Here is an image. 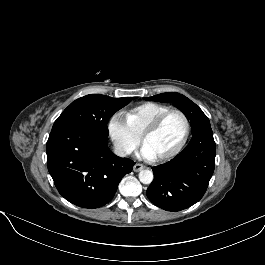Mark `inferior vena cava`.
Masks as SVG:
<instances>
[{
    "mask_svg": "<svg viewBox=\"0 0 265 265\" xmlns=\"http://www.w3.org/2000/svg\"><path fill=\"white\" fill-rule=\"evenodd\" d=\"M113 152L119 157H125L131 153V150L126 144L121 142H116L114 143Z\"/></svg>",
    "mask_w": 265,
    "mask_h": 265,
    "instance_id": "obj_1",
    "label": "inferior vena cava"
}]
</instances>
